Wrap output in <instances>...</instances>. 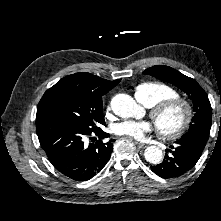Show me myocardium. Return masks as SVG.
Here are the masks:
<instances>
[{
  "label": "myocardium",
  "mask_w": 221,
  "mask_h": 221,
  "mask_svg": "<svg viewBox=\"0 0 221 221\" xmlns=\"http://www.w3.org/2000/svg\"><path fill=\"white\" fill-rule=\"evenodd\" d=\"M178 108L181 113L179 123L172 129L166 130L161 127L159 120L161 115L170 108ZM150 116L154 121L156 130L159 136L165 140H176L180 138L189 128L192 117L193 109L191 104L184 98L175 97L167 100H163L154 105L150 111Z\"/></svg>",
  "instance_id": "1"
}]
</instances>
